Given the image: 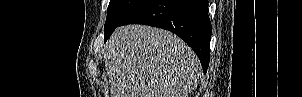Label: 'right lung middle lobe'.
<instances>
[{
	"label": "right lung middle lobe",
	"mask_w": 302,
	"mask_h": 97,
	"mask_svg": "<svg viewBox=\"0 0 302 97\" xmlns=\"http://www.w3.org/2000/svg\"><path fill=\"white\" fill-rule=\"evenodd\" d=\"M144 0H110L104 26L106 41L123 19L136 9Z\"/></svg>",
	"instance_id": "dd1d6c3e"
}]
</instances>
